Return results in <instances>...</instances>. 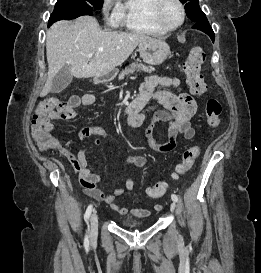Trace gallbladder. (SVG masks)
<instances>
[{
  "label": "gallbladder",
  "instance_id": "obj_1",
  "mask_svg": "<svg viewBox=\"0 0 261 273\" xmlns=\"http://www.w3.org/2000/svg\"><path fill=\"white\" fill-rule=\"evenodd\" d=\"M72 79L71 67L69 65H64L52 81L51 92L55 94L62 92L66 87H68Z\"/></svg>",
  "mask_w": 261,
  "mask_h": 273
}]
</instances>
